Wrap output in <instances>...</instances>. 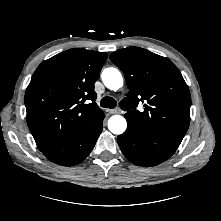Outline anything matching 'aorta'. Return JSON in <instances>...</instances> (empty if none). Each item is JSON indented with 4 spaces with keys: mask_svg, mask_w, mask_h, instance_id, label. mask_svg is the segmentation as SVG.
Here are the masks:
<instances>
[{
    "mask_svg": "<svg viewBox=\"0 0 221 221\" xmlns=\"http://www.w3.org/2000/svg\"><path fill=\"white\" fill-rule=\"evenodd\" d=\"M104 85L112 90L117 91L123 86V77L120 71L116 68H106L101 74ZM127 128L126 119L120 115H113L108 120V129L113 134L120 135Z\"/></svg>",
    "mask_w": 221,
    "mask_h": 221,
    "instance_id": "obj_1",
    "label": "aorta"
}]
</instances>
